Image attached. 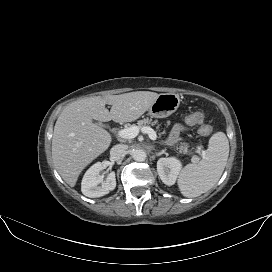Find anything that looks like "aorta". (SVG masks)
Here are the masks:
<instances>
[{
    "instance_id": "1",
    "label": "aorta",
    "mask_w": 272,
    "mask_h": 272,
    "mask_svg": "<svg viewBox=\"0 0 272 272\" xmlns=\"http://www.w3.org/2000/svg\"><path fill=\"white\" fill-rule=\"evenodd\" d=\"M132 157L135 161L142 162L146 159L147 155L145 151L137 149L133 151Z\"/></svg>"
}]
</instances>
